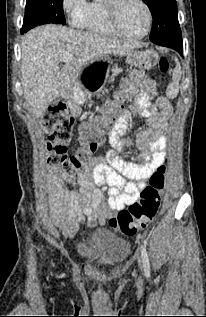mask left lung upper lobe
Listing matches in <instances>:
<instances>
[{
  "instance_id": "1",
  "label": "left lung upper lobe",
  "mask_w": 206,
  "mask_h": 317,
  "mask_svg": "<svg viewBox=\"0 0 206 317\" xmlns=\"http://www.w3.org/2000/svg\"><path fill=\"white\" fill-rule=\"evenodd\" d=\"M153 16L150 40L153 43H182L175 0H143Z\"/></svg>"
}]
</instances>
